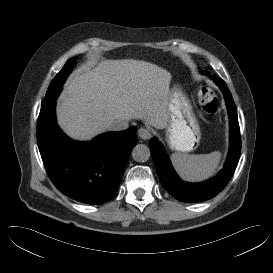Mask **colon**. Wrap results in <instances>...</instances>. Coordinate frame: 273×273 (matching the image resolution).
<instances>
[{"instance_id":"5ec220e1","label":"colon","mask_w":273,"mask_h":273,"mask_svg":"<svg viewBox=\"0 0 273 273\" xmlns=\"http://www.w3.org/2000/svg\"><path fill=\"white\" fill-rule=\"evenodd\" d=\"M202 110L212 118L219 114V100L216 94L208 87H201L198 91Z\"/></svg>"}]
</instances>
